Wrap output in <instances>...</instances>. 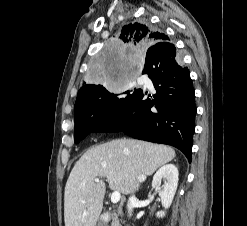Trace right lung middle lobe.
<instances>
[{
	"mask_svg": "<svg viewBox=\"0 0 247 226\" xmlns=\"http://www.w3.org/2000/svg\"><path fill=\"white\" fill-rule=\"evenodd\" d=\"M96 85L98 88L92 94L75 103V143L95 132L97 125L127 97V93H116L105 86H99V83Z\"/></svg>",
	"mask_w": 247,
	"mask_h": 226,
	"instance_id": "1",
	"label": "right lung middle lobe"
}]
</instances>
